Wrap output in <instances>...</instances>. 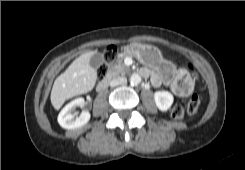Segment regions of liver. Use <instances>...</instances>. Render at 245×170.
<instances>
[{
	"label": "liver",
	"instance_id": "obj_1",
	"mask_svg": "<svg viewBox=\"0 0 245 170\" xmlns=\"http://www.w3.org/2000/svg\"><path fill=\"white\" fill-rule=\"evenodd\" d=\"M94 53L90 51L80 55L55 79L50 95L54 109L59 110L66 100L94 88L97 72L89 63Z\"/></svg>",
	"mask_w": 245,
	"mask_h": 170
}]
</instances>
